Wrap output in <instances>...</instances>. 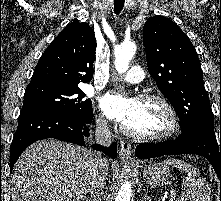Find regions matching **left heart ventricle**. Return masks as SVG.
I'll list each match as a JSON object with an SVG mask.
<instances>
[{"instance_id": "obj_1", "label": "left heart ventricle", "mask_w": 221, "mask_h": 201, "mask_svg": "<svg viewBox=\"0 0 221 201\" xmlns=\"http://www.w3.org/2000/svg\"><path fill=\"white\" fill-rule=\"evenodd\" d=\"M124 125L137 133H162L168 128V117L155 101H135L133 112Z\"/></svg>"}]
</instances>
